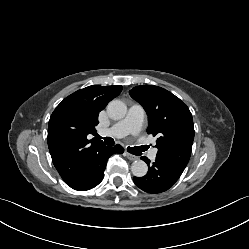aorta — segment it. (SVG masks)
<instances>
[{"mask_svg": "<svg viewBox=\"0 0 249 249\" xmlns=\"http://www.w3.org/2000/svg\"><path fill=\"white\" fill-rule=\"evenodd\" d=\"M107 112L112 119L119 120L125 117L127 106L121 100H112L107 106ZM131 172L136 177H144L148 172V166L143 160H136L131 165Z\"/></svg>", "mask_w": 249, "mask_h": 249, "instance_id": "obj_1", "label": "aorta"}]
</instances>
